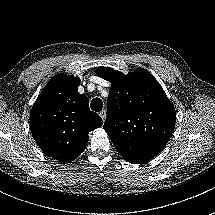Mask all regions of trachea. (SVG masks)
<instances>
[{"label": "trachea", "mask_w": 215, "mask_h": 215, "mask_svg": "<svg viewBox=\"0 0 215 215\" xmlns=\"http://www.w3.org/2000/svg\"><path fill=\"white\" fill-rule=\"evenodd\" d=\"M103 108V103L100 98H94L91 101V109L95 112H100Z\"/></svg>", "instance_id": "obj_1"}]
</instances>
